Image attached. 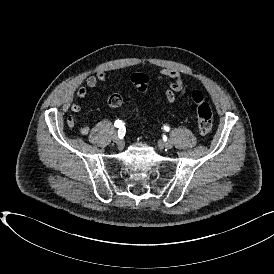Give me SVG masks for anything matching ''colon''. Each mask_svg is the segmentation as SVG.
Returning a JSON list of instances; mask_svg holds the SVG:
<instances>
[{
  "label": "colon",
  "mask_w": 274,
  "mask_h": 274,
  "mask_svg": "<svg viewBox=\"0 0 274 274\" xmlns=\"http://www.w3.org/2000/svg\"><path fill=\"white\" fill-rule=\"evenodd\" d=\"M131 83L139 90H145L148 86V77L144 73H133L130 77ZM191 100L196 106L197 126L201 134H208L213 124V114L209 104L205 101L204 96L199 91L191 93ZM112 107H116L121 103L119 94L112 95L109 98ZM77 118L73 115L69 116L67 123L69 127L77 124Z\"/></svg>",
  "instance_id": "colon-1"
}]
</instances>
